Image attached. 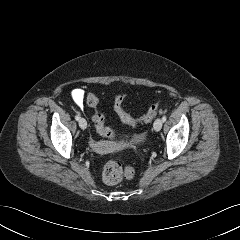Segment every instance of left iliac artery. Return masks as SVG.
I'll list each match as a JSON object with an SVG mask.
<instances>
[{"label":"left iliac artery","mask_w":240,"mask_h":240,"mask_svg":"<svg viewBox=\"0 0 240 240\" xmlns=\"http://www.w3.org/2000/svg\"><path fill=\"white\" fill-rule=\"evenodd\" d=\"M166 119H167V117H166V116H163V117H162V121H163V122H165V121H166Z\"/></svg>","instance_id":"left-iliac-artery-1"}]
</instances>
